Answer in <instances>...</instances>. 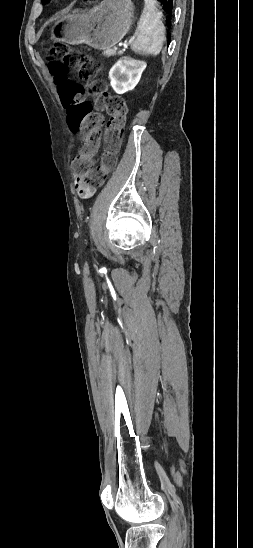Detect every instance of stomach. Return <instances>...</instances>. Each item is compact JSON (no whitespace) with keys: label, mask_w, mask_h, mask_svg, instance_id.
Masks as SVG:
<instances>
[{"label":"stomach","mask_w":253,"mask_h":548,"mask_svg":"<svg viewBox=\"0 0 253 548\" xmlns=\"http://www.w3.org/2000/svg\"><path fill=\"white\" fill-rule=\"evenodd\" d=\"M134 11L131 0H103L91 10L76 9L59 21V38L72 45L85 43L98 50H110L130 29ZM54 34L57 37L58 30Z\"/></svg>","instance_id":"obj_1"}]
</instances>
